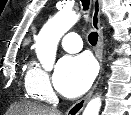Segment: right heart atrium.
I'll list each match as a JSON object with an SVG mask.
<instances>
[{
    "instance_id": "obj_1",
    "label": "right heart atrium",
    "mask_w": 131,
    "mask_h": 115,
    "mask_svg": "<svg viewBox=\"0 0 131 115\" xmlns=\"http://www.w3.org/2000/svg\"><path fill=\"white\" fill-rule=\"evenodd\" d=\"M27 87L44 101H52L55 93L52 89L48 73L38 65L31 68L27 74Z\"/></svg>"
}]
</instances>
